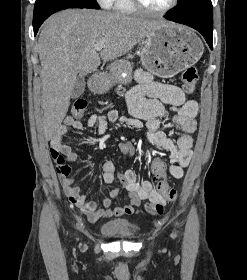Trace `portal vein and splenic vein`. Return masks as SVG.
<instances>
[{
	"label": "portal vein and splenic vein",
	"instance_id": "obj_1",
	"mask_svg": "<svg viewBox=\"0 0 247 280\" xmlns=\"http://www.w3.org/2000/svg\"><path fill=\"white\" fill-rule=\"evenodd\" d=\"M103 47H104L103 43H100V44H97V45L95 46V49H96L97 51H101V50L103 49Z\"/></svg>",
	"mask_w": 247,
	"mask_h": 280
}]
</instances>
